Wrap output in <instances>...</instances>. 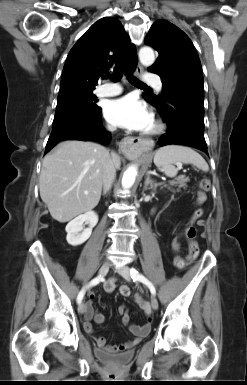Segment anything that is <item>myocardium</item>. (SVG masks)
<instances>
[{"instance_id": "obj_1", "label": "myocardium", "mask_w": 247, "mask_h": 385, "mask_svg": "<svg viewBox=\"0 0 247 385\" xmlns=\"http://www.w3.org/2000/svg\"><path fill=\"white\" fill-rule=\"evenodd\" d=\"M164 130V124L163 122L154 117L153 118V123H152V127L146 131L145 135L147 136H155V135H158L160 134L161 132H163Z\"/></svg>"}]
</instances>
